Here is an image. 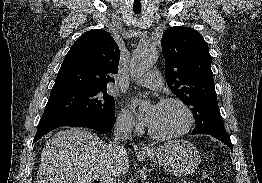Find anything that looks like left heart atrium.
Wrapping results in <instances>:
<instances>
[{
  "label": "left heart atrium",
  "mask_w": 262,
  "mask_h": 183,
  "mask_svg": "<svg viewBox=\"0 0 262 183\" xmlns=\"http://www.w3.org/2000/svg\"><path fill=\"white\" fill-rule=\"evenodd\" d=\"M140 102L139 100L135 99L132 101L131 106L133 109H137L139 106ZM155 107H152L150 110H148L146 113H143L140 115L142 121L146 124V125H150L152 120H153V116H154V111H155Z\"/></svg>",
  "instance_id": "obj_1"
}]
</instances>
